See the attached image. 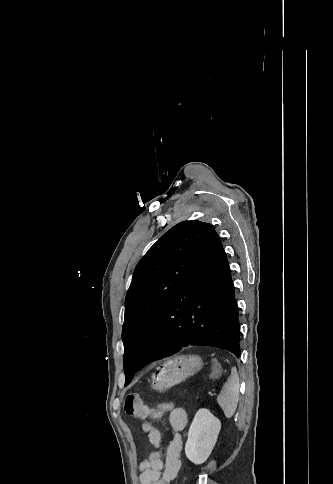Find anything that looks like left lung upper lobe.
I'll return each instance as SVG.
<instances>
[{"mask_svg": "<svg viewBox=\"0 0 333 484\" xmlns=\"http://www.w3.org/2000/svg\"><path fill=\"white\" fill-rule=\"evenodd\" d=\"M211 225L184 221L166 232L137 264L125 299L122 329L125 384L142 368V348L162 305Z\"/></svg>", "mask_w": 333, "mask_h": 484, "instance_id": "left-lung-upper-lobe-1", "label": "left lung upper lobe"}]
</instances>
